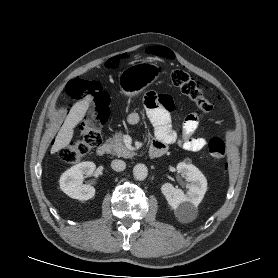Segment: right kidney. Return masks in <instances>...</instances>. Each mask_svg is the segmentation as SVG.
<instances>
[{
	"mask_svg": "<svg viewBox=\"0 0 278 278\" xmlns=\"http://www.w3.org/2000/svg\"><path fill=\"white\" fill-rule=\"evenodd\" d=\"M93 162H81L65 171L59 180L60 189L69 197L78 200H89L95 195L93 186L83 184L85 175H91L95 170Z\"/></svg>",
	"mask_w": 278,
	"mask_h": 278,
	"instance_id": "right-kidney-1",
	"label": "right kidney"
}]
</instances>
